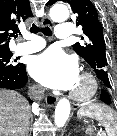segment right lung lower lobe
Listing matches in <instances>:
<instances>
[{"label": "right lung lower lobe", "mask_w": 117, "mask_h": 136, "mask_svg": "<svg viewBox=\"0 0 117 136\" xmlns=\"http://www.w3.org/2000/svg\"><path fill=\"white\" fill-rule=\"evenodd\" d=\"M27 80L24 64H20L15 69H0V88L20 89L26 85Z\"/></svg>", "instance_id": "obj_1"}]
</instances>
